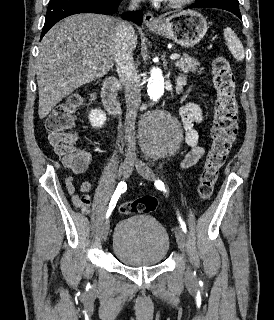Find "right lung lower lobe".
<instances>
[{
    "instance_id": "obj_1",
    "label": "right lung lower lobe",
    "mask_w": 274,
    "mask_h": 320,
    "mask_svg": "<svg viewBox=\"0 0 274 320\" xmlns=\"http://www.w3.org/2000/svg\"><path fill=\"white\" fill-rule=\"evenodd\" d=\"M121 1L122 0H50L41 38L55 23L67 16L77 13L113 14L117 11ZM121 17L140 26L142 24L143 13L141 10L126 12L122 14Z\"/></svg>"
}]
</instances>
